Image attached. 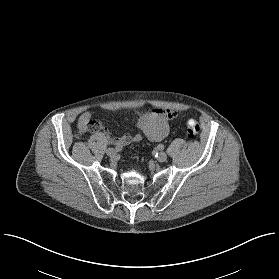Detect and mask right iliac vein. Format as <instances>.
<instances>
[{
	"instance_id": "obj_1",
	"label": "right iliac vein",
	"mask_w": 279,
	"mask_h": 279,
	"mask_svg": "<svg viewBox=\"0 0 279 279\" xmlns=\"http://www.w3.org/2000/svg\"><path fill=\"white\" fill-rule=\"evenodd\" d=\"M115 153H116V151H115L114 148H108V149L106 150V154H107L108 156H114Z\"/></svg>"
}]
</instances>
